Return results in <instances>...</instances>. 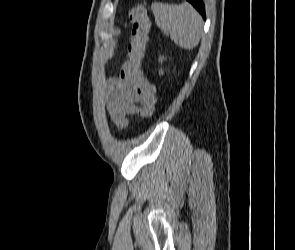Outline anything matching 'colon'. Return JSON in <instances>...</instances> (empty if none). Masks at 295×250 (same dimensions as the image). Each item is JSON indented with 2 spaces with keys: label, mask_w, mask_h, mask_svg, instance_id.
<instances>
[{
  "label": "colon",
  "mask_w": 295,
  "mask_h": 250,
  "mask_svg": "<svg viewBox=\"0 0 295 250\" xmlns=\"http://www.w3.org/2000/svg\"><path fill=\"white\" fill-rule=\"evenodd\" d=\"M129 21L132 30L128 58L122 65L120 76L137 90L143 116L148 118L154 112L157 99L155 88L144 76L141 65L149 43L151 23L146 11L139 5L130 10Z\"/></svg>",
  "instance_id": "5ec220e1"
}]
</instances>
